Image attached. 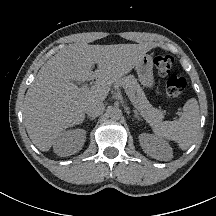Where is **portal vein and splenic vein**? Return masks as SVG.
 <instances>
[{
    "label": "portal vein and splenic vein",
    "mask_w": 216,
    "mask_h": 216,
    "mask_svg": "<svg viewBox=\"0 0 216 216\" xmlns=\"http://www.w3.org/2000/svg\"><path fill=\"white\" fill-rule=\"evenodd\" d=\"M80 89L81 90H87V89H89V87H88V85H83ZM125 92L128 95L130 101L136 106L134 94L131 93L130 91H128L126 88H125ZM178 115H180V113H178Z\"/></svg>",
    "instance_id": "18ae733b"
}]
</instances>
